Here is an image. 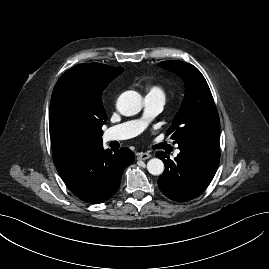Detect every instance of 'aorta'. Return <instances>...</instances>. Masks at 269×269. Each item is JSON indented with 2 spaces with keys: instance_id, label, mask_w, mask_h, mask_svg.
Instances as JSON below:
<instances>
[{
  "instance_id": "aorta-1",
  "label": "aorta",
  "mask_w": 269,
  "mask_h": 269,
  "mask_svg": "<svg viewBox=\"0 0 269 269\" xmlns=\"http://www.w3.org/2000/svg\"><path fill=\"white\" fill-rule=\"evenodd\" d=\"M142 106V97L136 91H125L117 100V109L124 116L136 115ZM147 170L152 175H160L164 171V163L158 158H152L147 163Z\"/></svg>"
}]
</instances>
